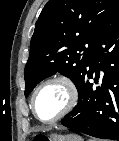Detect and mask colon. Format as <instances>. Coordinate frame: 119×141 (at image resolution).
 Returning a JSON list of instances; mask_svg holds the SVG:
<instances>
[{"instance_id":"1","label":"colon","mask_w":119,"mask_h":141,"mask_svg":"<svg viewBox=\"0 0 119 141\" xmlns=\"http://www.w3.org/2000/svg\"><path fill=\"white\" fill-rule=\"evenodd\" d=\"M34 141H51V140L44 135H37L35 136Z\"/></svg>"}]
</instances>
